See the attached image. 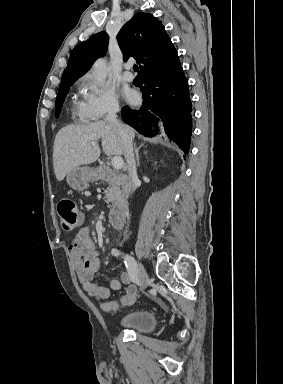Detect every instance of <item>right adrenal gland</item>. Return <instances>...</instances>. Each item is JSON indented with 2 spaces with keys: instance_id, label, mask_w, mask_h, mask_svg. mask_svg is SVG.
I'll return each mask as SVG.
<instances>
[{
  "instance_id": "1",
  "label": "right adrenal gland",
  "mask_w": 283,
  "mask_h": 384,
  "mask_svg": "<svg viewBox=\"0 0 283 384\" xmlns=\"http://www.w3.org/2000/svg\"><path fill=\"white\" fill-rule=\"evenodd\" d=\"M142 146H144V144H140L139 148H137L136 144H134V152L136 154V162H137V166H139V150L140 148H142Z\"/></svg>"
}]
</instances>
